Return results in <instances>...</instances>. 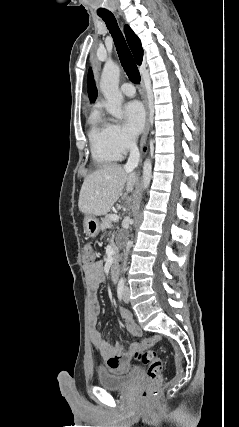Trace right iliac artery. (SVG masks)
<instances>
[{"mask_svg": "<svg viewBox=\"0 0 239 427\" xmlns=\"http://www.w3.org/2000/svg\"><path fill=\"white\" fill-rule=\"evenodd\" d=\"M124 294V280L121 278L117 286V295L119 300H122Z\"/></svg>", "mask_w": 239, "mask_h": 427, "instance_id": "1", "label": "right iliac artery"}]
</instances>
